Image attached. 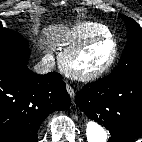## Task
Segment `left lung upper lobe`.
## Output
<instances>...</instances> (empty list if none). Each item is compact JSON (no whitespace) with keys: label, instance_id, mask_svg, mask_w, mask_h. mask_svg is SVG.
I'll use <instances>...</instances> for the list:
<instances>
[{"label":"left lung upper lobe","instance_id":"obj_1","mask_svg":"<svg viewBox=\"0 0 142 142\" xmlns=\"http://www.w3.org/2000/svg\"><path fill=\"white\" fill-rule=\"evenodd\" d=\"M127 27V45L117 67L110 73L112 76L133 72H142V28L135 20L121 15Z\"/></svg>","mask_w":142,"mask_h":142}]
</instances>
